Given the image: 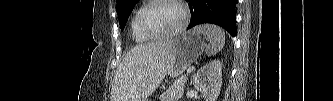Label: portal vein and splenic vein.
<instances>
[{
	"label": "portal vein and splenic vein",
	"mask_w": 333,
	"mask_h": 101,
	"mask_svg": "<svg viewBox=\"0 0 333 101\" xmlns=\"http://www.w3.org/2000/svg\"><path fill=\"white\" fill-rule=\"evenodd\" d=\"M193 69H194L193 67L189 68L188 71H187V74Z\"/></svg>",
	"instance_id": "obj_1"
}]
</instances>
